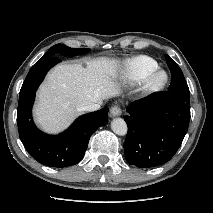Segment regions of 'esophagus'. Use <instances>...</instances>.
Returning a JSON list of instances; mask_svg holds the SVG:
<instances>
[{"mask_svg":"<svg viewBox=\"0 0 213 213\" xmlns=\"http://www.w3.org/2000/svg\"><path fill=\"white\" fill-rule=\"evenodd\" d=\"M122 113L121 108L119 106H113L110 109V117L120 116Z\"/></svg>","mask_w":213,"mask_h":213,"instance_id":"obj_1","label":"esophagus"}]
</instances>
